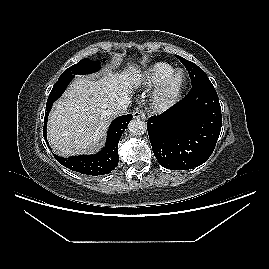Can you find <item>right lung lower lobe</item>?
Returning <instances> with one entry per match:
<instances>
[{"label": "right lung lower lobe", "instance_id": "98d812e1", "mask_svg": "<svg viewBox=\"0 0 269 269\" xmlns=\"http://www.w3.org/2000/svg\"><path fill=\"white\" fill-rule=\"evenodd\" d=\"M73 77H66L58 79L54 84L46 104V112L44 118V130L43 136L47 142L46 127L47 119L52 104L57 100L65 91L68 84ZM132 119L131 114L123 115L116 118L110 125L108 130V136L105 147L97 154L94 155H80L72 156L69 158H62L57 155L54 157L60 164L69 168L72 171H76L86 175H104L109 174L117 165L119 161L118 157V143L122 133L125 131L127 125Z\"/></svg>", "mask_w": 269, "mask_h": 269}]
</instances>
